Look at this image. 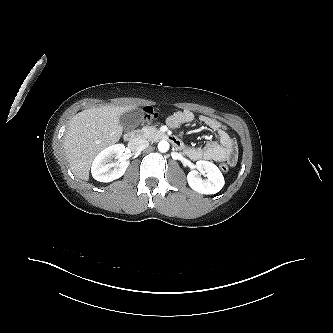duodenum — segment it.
Segmentation results:
<instances>
[{
    "instance_id": "410a0bca",
    "label": "duodenum",
    "mask_w": 333,
    "mask_h": 333,
    "mask_svg": "<svg viewBox=\"0 0 333 333\" xmlns=\"http://www.w3.org/2000/svg\"><path fill=\"white\" fill-rule=\"evenodd\" d=\"M161 139L168 141L173 147L180 149L182 148V142L176 136L161 132L160 134ZM140 140V133L136 131H131L125 134V141L127 142L128 146L132 149H136L138 147Z\"/></svg>"
}]
</instances>
